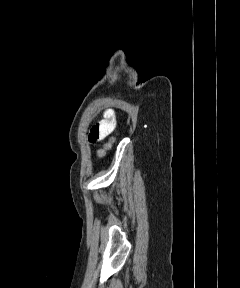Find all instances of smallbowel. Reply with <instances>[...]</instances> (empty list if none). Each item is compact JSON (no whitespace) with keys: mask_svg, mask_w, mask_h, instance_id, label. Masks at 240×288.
I'll list each match as a JSON object with an SVG mask.
<instances>
[{"mask_svg":"<svg viewBox=\"0 0 240 288\" xmlns=\"http://www.w3.org/2000/svg\"><path fill=\"white\" fill-rule=\"evenodd\" d=\"M116 127L115 115L112 110H106L103 119L96 123L89 132L88 139L90 142L100 141L111 134Z\"/></svg>","mask_w":240,"mask_h":288,"instance_id":"obj_1","label":"small bowel"}]
</instances>
